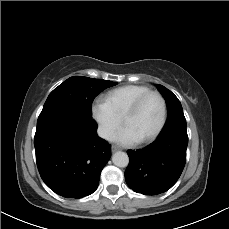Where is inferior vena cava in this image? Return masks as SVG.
<instances>
[{
	"label": "inferior vena cava",
	"mask_w": 229,
	"mask_h": 229,
	"mask_svg": "<svg viewBox=\"0 0 229 229\" xmlns=\"http://www.w3.org/2000/svg\"><path fill=\"white\" fill-rule=\"evenodd\" d=\"M97 133H98L99 137H101L105 140H108V141H111L114 138L113 133L104 127H99L97 130Z\"/></svg>",
	"instance_id": "inferior-vena-cava-1"
}]
</instances>
